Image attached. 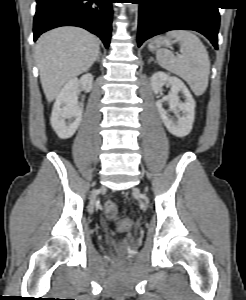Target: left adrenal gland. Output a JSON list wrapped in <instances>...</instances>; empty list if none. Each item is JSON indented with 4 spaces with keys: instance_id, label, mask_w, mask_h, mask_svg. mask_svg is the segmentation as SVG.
<instances>
[{
    "instance_id": "left-adrenal-gland-1",
    "label": "left adrenal gland",
    "mask_w": 246,
    "mask_h": 300,
    "mask_svg": "<svg viewBox=\"0 0 246 300\" xmlns=\"http://www.w3.org/2000/svg\"><path fill=\"white\" fill-rule=\"evenodd\" d=\"M152 61H154V59L151 57V58L149 59L148 63H150V62H152Z\"/></svg>"
}]
</instances>
